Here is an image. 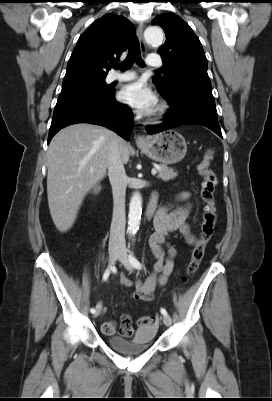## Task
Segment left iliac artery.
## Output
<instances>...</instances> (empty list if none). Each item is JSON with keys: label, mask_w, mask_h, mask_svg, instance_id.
I'll return each mask as SVG.
<instances>
[{"label": "left iliac artery", "mask_w": 272, "mask_h": 401, "mask_svg": "<svg viewBox=\"0 0 272 401\" xmlns=\"http://www.w3.org/2000/svg\"><path fill=\"white\" fill-rule=\"evenodd\" d=\"M129 261H130V263L132 264V266L134 268H136V269H141L142 268L141 263L132 254L129 255ZM160 312L164 316L168 315L166 309H164V308H161Z\"/></svg>", "instance_id": "left-iliac-artery-1"}]
</instances>
